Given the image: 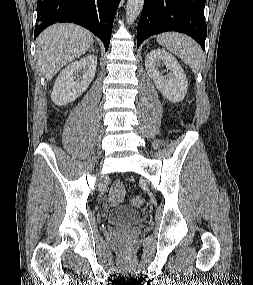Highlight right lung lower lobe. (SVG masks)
I'll use <instances>...</instances> for the list:
<instances>
[{
	"label": "right lung lower lobe",
	"instance_id": "right-lung-lower-lobe-1",
	"mask_svg": "<svg viewBox=\"0 0 253 285\" xmlns=\"http://www.w3.org/2000/svg\"><path fill=\"white\" fill-rule=\"evenodd\" d=\"M120 0H38L34 38L57 22L81 25L99 37L108 49Z\"/></svg>",
	"mask_w": 253,
	"mask_h": 285
}]
</instances>
